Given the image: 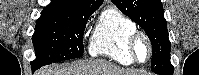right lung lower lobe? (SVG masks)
I'll return each mask as SVG.
<instances>
[{
  "instance_id": "1",
  "label": "right lung lower lobe",
  "mask_w": 199,
  "mask_h": 75,
  "mask_svg": "<svg viewBox=\"0 0 199 75\" xmlns=\"http://www.w3.org/2000/svg\"><path fill=\"white\" fill-rule=\"evenodd\" d=\"M31 69H32V72H34L36 69L35 68H33V67H31Z\"/></svg>"
}]
</instances>
